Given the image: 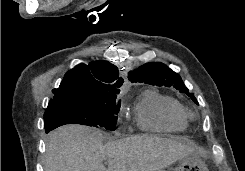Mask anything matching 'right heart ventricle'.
<instances>
[{"mask_svg":"<svg viewBox=\"0 0 245 171\" xmlns=\"http://www.w3.org/2000/svg\"><path fill=\"white\" fill-rule=\"evenodd\" d=\"M136 122L145 132L170 133L187 127L188 115L173 97L157 90H145L135 107Z\"/></svg>","mask_w":245,"mask_h":171,"instance_id":"obj_1","label":"right heart ventricle"}]
</instances>
